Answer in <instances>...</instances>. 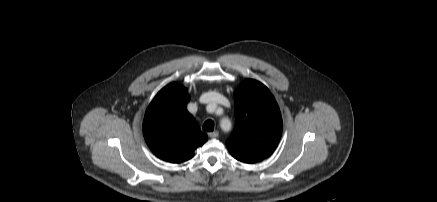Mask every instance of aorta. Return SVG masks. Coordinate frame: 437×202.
Wrapping results in <instances>:
<instances>
[{
    "label": "aorta",
    "instance_id": "obj_1",
    "mask_svg": "<svg viewBox=\"0 0 437 202\" xmlns=\"http://www.w3.org/2000/svg\"><path fill=\"white\" fill-rule=\"evenodd\" d=\"M221 124H222V125H224V124H230V121H229L228 119H225V120H223V121L221 122Z\"/></svg>",
    "mask_w": 437,
    "mask_h": 202
}]
</instances>
